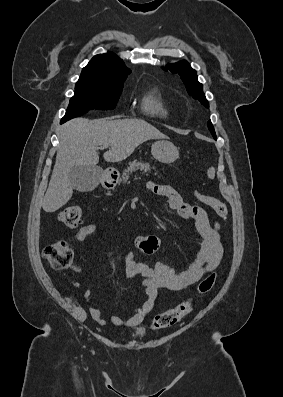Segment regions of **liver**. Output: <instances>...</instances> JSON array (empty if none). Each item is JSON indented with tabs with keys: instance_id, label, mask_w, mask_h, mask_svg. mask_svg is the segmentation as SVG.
Listing matches in <instances>:
<instances>
[{
	"instance_id": "1",
	"label": "liver",
	"mask_w": 283,
	"mask_h": 397,
	"mask_svg": "<svg viewBox=\"0 0 283 397\" xmlns=\"http://www.w3.org/2000/svg\"><path fill=\"white\" fill-rule=\"evenodd\" d=\"M163 138L166 135L142 119L70 120L59 133L56 162L43 199V210L55 212L71 199V169L74 166L96 167L99 162L98 146L109 144V151L103 155L107 162H121L143 142Z\"/></svg>"
}]
</instances>
